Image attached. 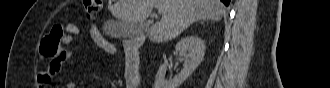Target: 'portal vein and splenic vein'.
I'll list each match as a JSON object with an SVG mask.
<instances>
[{
	"label": "portal vein and splenic vein",
	"mask_w": 330,
	"mask_h": 88,
	"mask_svg": "<svg viewBox=\"0 0 330 88\" xmlns=\"http://www.w3.org/2000/svg\"><path fill=\"white\" fill-rule=\"evenodd\" d=\"M159 14H162V11L159 9Z\"/></svg>",
	"instance_id": "18ae733b"
}]
</instances>
